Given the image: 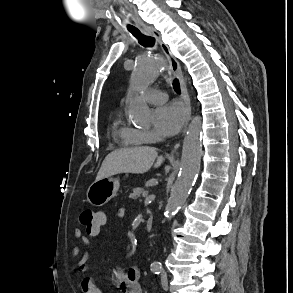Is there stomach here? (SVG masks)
<instances>
[{
  "label": "stomach",
  "instance_id": "stomach-1",
  "mask_svg": "<svg viewBox=\"0 0 293 293\" xmlns=\"http://www.w3.org/2000/svg\"><path fill=\"white\" fill-rule=\"evenodd\" d=\"M119 186L116 178L105 177L96 180L87 190V200L94 206H103L117 194Z\"/></svg>",
  "mask_w": 293,
  "mask_h": 293
}]
</instances>
